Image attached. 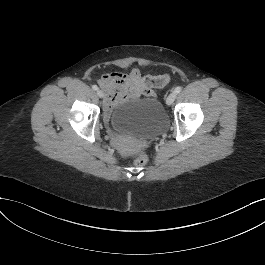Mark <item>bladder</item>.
Returning <instances> with one entry per match:
<instances>
[{
  "instance_id": "bladder-1",
  "label": "bladder",
  "mask_w": 265,
  "mask_h": 265,
  "mask_svg": "<svg viewBox=\"0 0 265 265\" xmlns=\"http://www.w3.org/2000/svg\"><path fill=\"white\" fill-rule=\"evenodd\" d=\"M166 111L159 99L134 100L117 106L112 114V128L123 134L146 138L162 131Z\"/></svg>"
}]
</instances>
